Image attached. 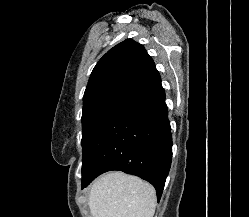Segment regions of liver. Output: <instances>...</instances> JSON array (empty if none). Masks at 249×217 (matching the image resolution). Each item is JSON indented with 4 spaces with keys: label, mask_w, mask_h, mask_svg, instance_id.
Returning <instances> with one entry per match:
<instances>
[{
    "label": "liver",
    "mask_w": 249,
    "mask_h": 217,
    "mask_svg": "<svg viewBox=\"0 0 249 217\" xmlns=\"http://www.w3.org/2000/svg\"><path fill=\"white\" fill-rule=\"evenodd\" d=\"M88 205L92 217H153L156 192L136 176L111 172L92 184Z\"/></svg>",
    "instance_id": "obj_1"
}]
</instances>
